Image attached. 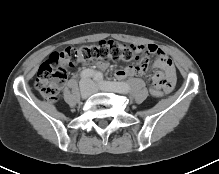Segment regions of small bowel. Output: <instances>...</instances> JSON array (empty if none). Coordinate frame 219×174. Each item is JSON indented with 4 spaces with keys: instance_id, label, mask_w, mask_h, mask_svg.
Returning a JSON list of instances; mask_svg holds the SVG:
<instances>
[{
    "instance_id": "obj_1",
    "label": "small bowel",
    "mask_w": 219,
    "mask_h": 174,
    "mask_svg": "<svg viewBox=\"0 0 219 174\" xmlns=\"http://www.w3.org/2000/svg\"><path fill=\"white\" fill-rule=\"evenodd\" d=\"M133 48L137 51H145V53H154L157 55L155 61V66L161 69L163 72H157L153 76V82L156 86L163 89L164 92L169 93L172 91L175 81L176 73L174 65L168 55L158 46L150 44L147 46L143 45H133ZM147 65V64H146ZM146 65L143 67L141 65L128 66L124 69L118 70L116 72V77L118 79H124L130 76H138L145 72ZM97 66L101 69L107 67V63L99 62Z\"/></svg>"
}]
</instances>
